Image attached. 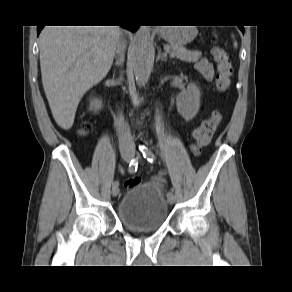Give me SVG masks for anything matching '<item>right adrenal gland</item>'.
<instances>
[{
  "label": "right adrenal gland",
  "instance_id": "1",
  "mask_svg": "<svg viewBox=\"0 0 292 292\" xmlns=\"http://www.w3.org/2000/svg\"><path fill=\"white\" fill-rule=\"evenodd\" d=\"M115 65H116V66H120L121 64L116 62Z\"/></svg>",
  "mask_w": 292,
  "mask_h": 292
}]
</instances>
